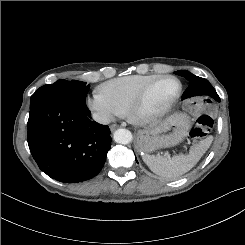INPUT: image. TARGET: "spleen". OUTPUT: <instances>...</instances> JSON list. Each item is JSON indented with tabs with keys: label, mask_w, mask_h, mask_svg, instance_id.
Masks as SVG:
<instances>
[{
	"label": "spleen",
	"mask_w": 245,
	"mask_h": 245,
	"mask_svg": "<svg viewBox=\"0 0 245 245\" xmlns=\"http://www.w3.org/2000/svg\"><path fill=\"white\" fill-rule=\"evenodd\" d=\"M207 148L208 143L201 141L194 145L187 155L179 154L169 157L144 154L142 159L156 175L167 180H174L190 171L204 155Z\"/></svg>",
	"instance_id": "3e777b00"
}]
</instances>
